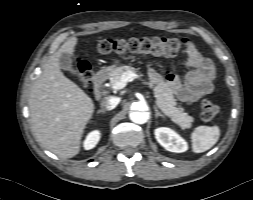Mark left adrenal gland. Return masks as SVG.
<instances>
[{
    "label": "left adrenal gland",
    "mask_w": 253,
    "mask_h": 200,
    "mask_svg": "<svg viewBox=\"0 0 253 200\" xmlns=\"http://www.w3.org/2000/svg\"><path fill=\"white\" fill-rule=\"evenodd\" d=\"M154 110H155V116H156V118L158 117V116H160V117H164L159 111H158V109H157V107L156 106H154Z\"/></svg>",
    "instance_id": "1"
}]
</instances>
